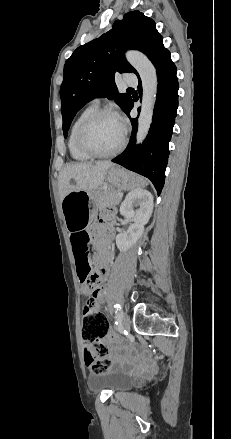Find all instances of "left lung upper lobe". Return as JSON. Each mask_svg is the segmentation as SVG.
<instances>
[{"label": "left lung upper lobe", "mask_w": 231, "mask_h": 439, "mask_svg": "<svg viewBox=\"0 0 231 439\" xmlns=\"http://www.w3.org/2000/svg\"><path fill=\"white\" fill-rule=\"evenodd\" d=\"M136 49L152 61L166 49L155 22L142 12L131 11L114 22L111 30L78 47L64 65L60 87L64 136L76 113L95 97L115 99L126 110L131 97L119 94L114 83L115 73L137 71L127 62L124 53Z\"/></svg>", "instance_id": "1"}]
</instances>
